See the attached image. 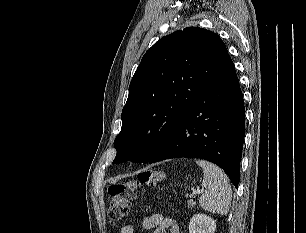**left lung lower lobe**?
Wrapping results in <instances>:
<instances>
[{
  "mask_svg": "<svg viewBox=\"0 0 306 233\" xmlns=\"http://www.w3.org/2000/svg\"><path fill=\"white\" fill-rule=\"evenodd\" d=\"M244 136L243 95L228 57L148 163L180 157L205 159L224 169L238 188Z\"/></svg>",
  "mask_w": 306,
  "mask_h": 233,
  "instance_id": "1",
  "label": "left lung lower lobe"
}]
</instances>
